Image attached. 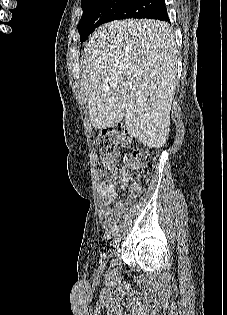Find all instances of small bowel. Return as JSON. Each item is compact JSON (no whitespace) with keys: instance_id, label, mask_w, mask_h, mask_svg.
<instances>
[{"instance_id":"1","label":"small bowel","mask_w":227,"mask_h":315,"mask_svg":"<svg viewBox=\"0 0 227 315\" xmlns=\"http://www.w3.org/2000/svg\"><path fill=\"white\" fill-rule=\"evenodd\" d=\"M116 184H119L123 190L127 189V183L124 178H119L115 183L99 186V191L104 201L102 210V224L107 230H110L112 226L119 220L126 205L122 201H116ZM130 189L133 193L132 196L135 197L136 193L138 192V187L133 186ZM112 204H114L113 207L111 206Z\"/></svg>"}]
</instances>
